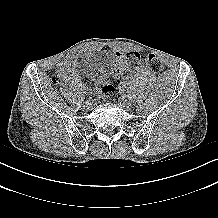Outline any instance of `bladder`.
Instances as JSON below:
<instances>
[{
    "label": "bladder",
    "instance_id": "31cf9c89",
    "mask_svg": "<svg viewBox=\"0 0 218 218\" xmlns=\"http://www.w3.org/2000/svg\"><path fill=\"white\" fill-rule=\"evenodd\" d=\"M88 74L95 78H103L110 66V59L106 55L89 56L84 61Z\"/></svg>",
    "mask_w": 218,
    "mask_h": 218
}]
</instances>
